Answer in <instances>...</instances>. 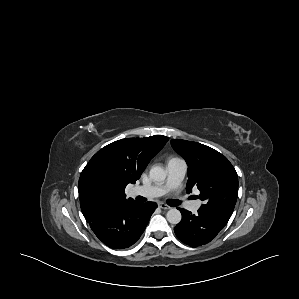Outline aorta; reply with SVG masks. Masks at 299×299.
Returning a JSON list of instances; mask_svg holds the SVG:
<instances>
[{
  "label": "aorta",
  "instance_id": "obj_1",
  "mask_svg": "<svg viewBox=\"0 0 299 299\" xmlns=\"http://www.w3.org/2000/svg\"><path fill=\"white\" fill-rule=\"evenodd\" d=\"M150 179L156 183H162L166 179L167 172L160 166H153L149 172ZM167 221L171 224H178L181 221V212L175 208L170 209L166 214Z\"/></svg>",
  "mask_w": 299,
  "mask_h": 299
}]
</instances>
